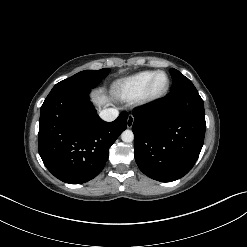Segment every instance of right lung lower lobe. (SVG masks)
Instances as JSON below:
<instances>
[{
    "instance_id": "98d812e1",
    "label": "right lung lower lobe",
    "mask_w": 247,
    "mask_h": 247,
    "mask_svg": "<svg viewBox=\"0 0 247 247\" xmlns=\"http://www.w3.org/2000/svg\"><path fill=\"white\" fill-rule=\"evenodd\" d=\"M90 89L52 90L40 112L38 149L47 169L69 184L85 183L104 168L109 148L126 129L128 114L102 121L89 100Z\"/></svg>"
}]
</instances>
